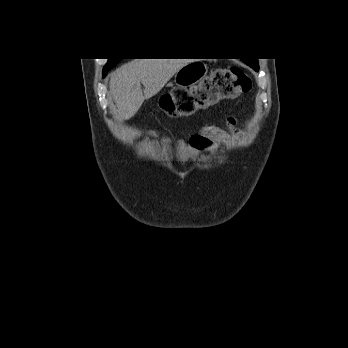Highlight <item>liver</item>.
<instances>
[{"mask_svg":"<svg viewBox=\"0 0 348 348\" xmlns=\"http://www.w3.org/2000/svg\"><path fill=\"white\" fill-rule=\"evenodd\" d=\"M189 62L186 59H134L113 72L110 93L121 117L127 120L134 116L145 99L156 95Z\"/></svg>","mask_w":348,"mask_h":348,"instance_id":"1","label":"liver"}]
</instances>
